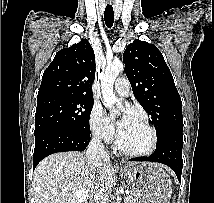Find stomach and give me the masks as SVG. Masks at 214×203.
Instances as JSON below:
<instances>
[{
    "label": "stomach",
    "instance_id": "1",
    "mask_svg": "<svg viewBox=\"0 0 214 203\" xmlns=\"http://www.w3.org/2000/svg\"><path fill=\"white\" fill-rule=\"evenodd\" d=\"M138 203H169L172 195L171 180L156 163H142L121 170Z\"/></svg>",
    "mask_w": 214,
    "mask_h": 203
}]
</instances>
